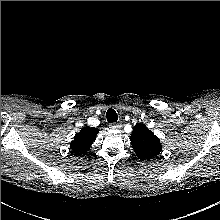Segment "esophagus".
Listing matches in <instances>:
<instances>
[{
    "label": "esophagus",
    "mask_w": 220,
    "mask_h": 220,
    "mask_svg": "<svg viewBox=\"0 0 220 220\" xmlns=\"http://www.w3.org/2000/svg\"><path fill=\"white\" fill-rule=\"evenodd\" d=\"M109 127H110L111 129H113V130H118V129H120V128L122 127V124H121V123H111V124L109 125Z\"/></svg>",
    "instance_id": "esophagus-1"
}]
</instances>
